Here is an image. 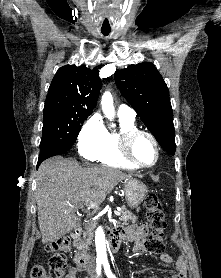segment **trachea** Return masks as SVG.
<instances>
[{
    "mask_svg": "<svg viewBox=\"0 0 221 278\" xmlns=\"http://www.w3.org/2000/svg\"><path fill=\"white\" fill-rule=\"evenodd\" d=\"M101 32L104 36H108L110 33V30H101Z\"/></svg>",
    "mask_w": 221,
    "mask_h": 278,
    "instance_id": "trachea-1",
    "label": "trachea"
}]
</instances>
